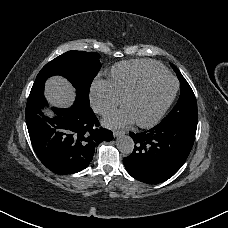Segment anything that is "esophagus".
I'll return each mask as SVG.
<instances>
[{
	"label": "esophagus",
	"mask_w": 228,
	"mask_h": 228,
	"mask_svg": "<svg viewBox=\"0 0 228 228\" xmlns=\"http://www.w3.org/2000/svg\"><path fill=\"white\" fill-rule=\"evenodd\" d=\"M124 134H125L124 131H114V132H113V135H114L115 138H116V137H119V136H121V135H124Z\"/></svg>",
	"instance_id": "34e87169"
}]
</instances>
